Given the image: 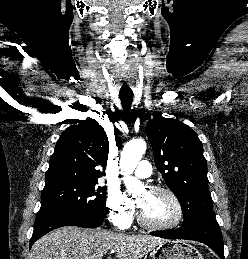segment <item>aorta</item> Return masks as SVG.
Here are the masks:
<instances>
[{
	"instance_id": "aorta-1",
	"label": "aorta",
	"mask_w": 248,
	"mask_h": 259,
	"mask_svg": "<svg viewBox=\"0 0 248 259\" xmlns=\"http://www.w3.org/2000/svg\"><path fill=\"white\" fill-rule=\"evenodd\" d=\"M145 151L146 142L140 138L127 143L121 153L120 169L121 173L126 176L124 183L131 194H135L142 188L141 182L130 174L135 170Z\"/></svg>"
}]
</instances>
